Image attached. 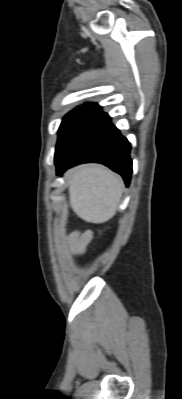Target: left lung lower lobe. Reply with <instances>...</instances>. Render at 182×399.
<instances>
[{"label":"left lung lower lobe","mask_w":182,"mask_h":399,"mask_svg":"<svg viewBox=\"0 0 182 399\" xmlns=\"http://www.w3.org/2000/svg\"><path fill=\"white\" fill-rule=\"evenodd\" d=\"M129 153L128 140L112 125L109 115L98 109L82 121L65 149L55 158L57 175L72 166L95 162L119 173L129 186L132 173Z\"/></svg>","instance_id":"0a47b994"}]
</instances>
